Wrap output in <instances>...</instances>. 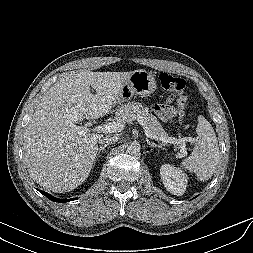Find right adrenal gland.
Returning <instances> with one entry per match:
<instances>
[{
  "label": "right adrenal gland",
  "mask_w": 253,
  "mask_h": 253,
  "mask_svg": "<svg viewBox=\"0 0 253 253\" xmlns=\"http://www.w3.org/2000/svg\"><path fill=\"white\" fill-rule=\"evenodd\" d=\"M106 147H107V145L100 146V147L98 148V151H97V155H96V157H98V156L100 155L101 151L103 152V151H104V149H105Z\"/></svg>",
  "instance_id": "1"
}]
</instances>
